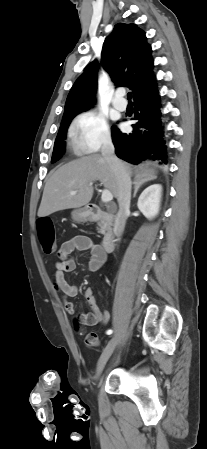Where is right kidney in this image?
Returning a JSON list of instances; mask_svg holds the SVG:
<instances>
[{"instance_id": "right-kidney-1", "label": "right kidney", "mask_w": 207, "mask_h": 449, "mask_svg": "<svg viewBox=\"0 0 207 449\" xmlns=\"http://www.w3.org/2000/svg\"><path fill=\"white\" fill-rule=\"evenodd\" d=\"M162 186L154 184L147 187L140 195L137 207L148 218H154L160 209Z\"/></svg>"}]
</instances>
